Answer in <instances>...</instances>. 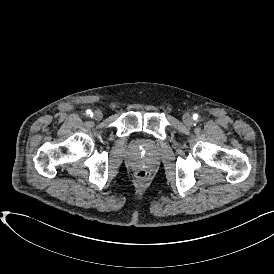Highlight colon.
Segmentation results:
<instances>
[{"mask_svg": "<svg viewBox=\"0 0 274 274\" xmlns=\"http://www.w3.org/2000/svg\"><path fill=\"white\" fill-rule=\"evenodd\" d=\"M150 174L147 171H139L137 173V178L141 181H146L147 179H149Z\"/></svg>", "mask_w": 274, "mask_h": 274, "instance_id": "colon-1", "label": "colon"}]
</instances>
